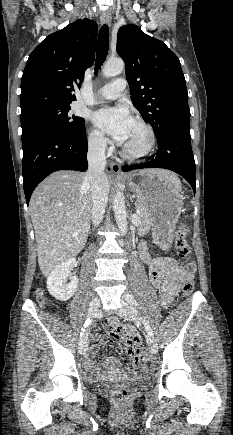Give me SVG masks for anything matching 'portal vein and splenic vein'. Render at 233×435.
I'll list each match as a JSON object with an SVG mask.
<instances>
[{
    "instance_id": "1",
    "label": "portal vein and splenic vein",
    "mask_w": 233,
    "mask_h": 435,
    "mask_svg": "<svg viewBox=\"0 0 233 435\" xmlns=\"http://www.w3.org/2000/svg\"><path fill=\"white\" fill-rule=\"evenodd\" d=\"M140 214V211L137 209L136 210V215H139ZM73 237H77L78 236V233L76 232V233H73V235H72Z\"/></svg>"
}]
</instances>
